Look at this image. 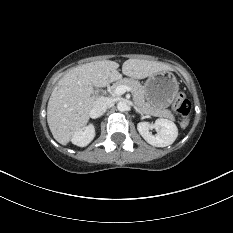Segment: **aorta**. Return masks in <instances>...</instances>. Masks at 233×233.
<instances>
[{
	"label": "aorta",
	"mask_w": 233,
	"mask_h": 233,
	"mask_svg": "<svg viewBox=\"0 0 233 233\" xmlns=\"http://www.w3.org/2000/svg\"><path fill=\"white\" fill-rule=\"evenodd\" d=\"M127 108H128V105H127V103L125 101H119L117 103V109L119 111L124 112V111L127 110Z\"/></svg>",
	"instance_id": "aorta-1"
}]
</instances>
